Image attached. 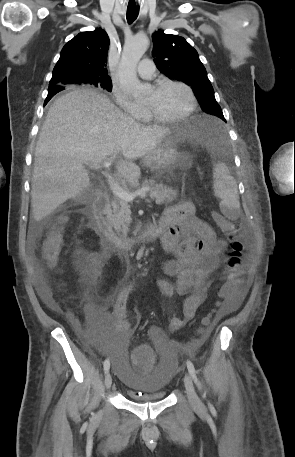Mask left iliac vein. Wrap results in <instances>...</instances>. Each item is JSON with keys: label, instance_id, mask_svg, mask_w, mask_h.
Wrapping results in <instances>:
<instances>
[{"label": "left iliac vein", "instance_id": "left-iliac-vein-1", "mask_svg": "<svg viewBox=\"0 0 295 457\" xmlns=\"http://www.w3.org/2000/svg\"><path fill=\"white\" fill-rule=\"evenodd\" d=\"M184 384L190 405L194 408L199 407L201 402L195 391L192 379L188 373H186L184 376Z\"/></svg>", "mask_w": 295, "mask_h": 457}]
</instances>
